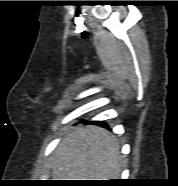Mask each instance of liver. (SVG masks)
<instances>
[{"instance_id":"1","label":"liver","mask_w":178,"mask_h":186,"mask_svg":"<svg viewBox=\"0 0 178 186\" xmlns=\"http://www.w3.org/2000/svg\"><path fill=\"white\" fill-rule=\"evenodd\" d=\"M120 147L101 127L88 126L68 132L55 151L54 180H110L120 176Z\"/></svg>"}]
</instances>
